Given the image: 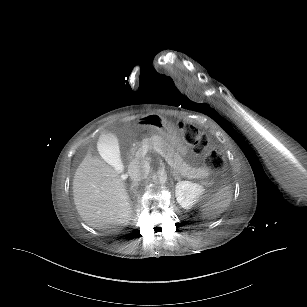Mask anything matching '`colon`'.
Listing matches in <instances>:
<instances>
[{"mask_svg": "<svg viewBox=\"0 0 307 307\" xmlns=\"http://www.w3.org/2000/svg\"><path fill=\"white\" fill-rule=\"evenodd\" d=\"M179 127L182 129L186 143L195 149H199L204 154V161L207 166L216 171H220L224 167L222 152L217 148H209L206 136L201 135L197 127L184 123H180Z\"/></svg>", "mask_w": 307, "mask_h": 307, "instance_id": "colon-1", "label": "colon"}]
</instances>
